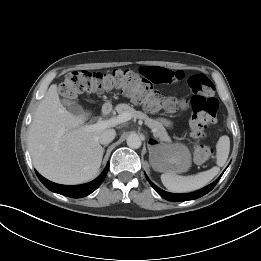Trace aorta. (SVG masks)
Listing matches in <instances>:
<instances>
[{
	"label": "aorta",
	"mask_w": 261,
	"mask_h": 261,
	"mask_svg": "<svg viewBox=\"0 0 261 261\" xmlns=\"http://www.w3.org/2000/svg\"><path fill=\"white\" fill-rule=\"evenodd\" d=\"M127 145L132 149H138L142 145V141L137 134H131L127 138Z\"/></svg>",
	"instance_id": "762f6f07"
}]
</instances>
